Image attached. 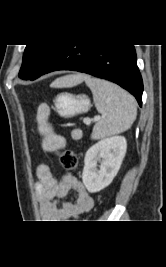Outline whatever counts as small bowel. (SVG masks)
I'll use <instances>...</instances> for the list:
<instances>
[{"instance_id":"obj_1","label":"small bowel","mask_w":166,"mask_h":267,"mask_svg":"<svg viewBox=\"0 0 166 267\" xmlns=\"http://www.w3.org/2000/svg\"><path fill=\"white\" fill-rule=\"evenodd\" d=\"M35 190L41 216L48 222H59L85 213L93 206L92 197L73 174L64 173L57 180L52 168L46 164H41L37 169ZM71 191L74 192V200L61 202Z\"/></svg>"}]
</instances>
